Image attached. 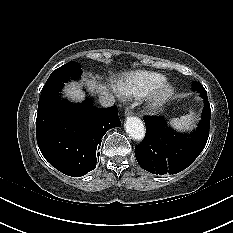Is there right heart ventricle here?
I'll return each instance as SVG.
<instances>
[{
	"label": "right heart ventricle",
	"mask_w": 233,
	"mask_h": 233,
	"mask_svg": "<svg viewBox=\"0 0 233 233\" xmlns=\"http://www.w3.org/2000/svg\"><path fill=\"white\" fill-rule=\"evenodd\" d=\"M165 80V76L159 73L135 72L118 84V92L126 97L141 98L148 95Z\"/></svg>",
	"instance_id": "1"
}]
</instances>
